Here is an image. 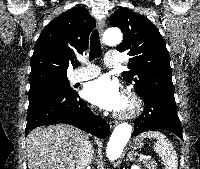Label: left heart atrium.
Here are the masks:
<instances>
[{"instance_id": "left-heart-atrium-1", "label": "left heart atrium", "mask_w": 200, "mask_h": 169, "mask_svg": "<svg viewBox=\"0 0 200 169\" xmlns=\"http://www.w3.org/2000/svg\"><path fill=\"white\" fill-rule=\"evenodd\" d=\"M84 97L92 104L113 112L120 111L124 98L118 82L106 76L90 82L84 90Z\"/></svg>"}]
</instances>
